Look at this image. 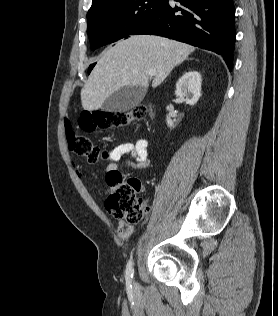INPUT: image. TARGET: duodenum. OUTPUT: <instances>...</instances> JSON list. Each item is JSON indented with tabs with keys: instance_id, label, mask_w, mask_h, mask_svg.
I'll use <instances>...</instances> for the list:
<instances>
[{
	"instance_id": "1",
	"label": "duodenum",
	"mask_w": 278,
	"mask_h": 316,
	"mask_svg": "<svg viewBox=\"0 0 278 316\" xmlns=\"http://www.w3.org/2000/svg\"><path fill=\"white\" fill-rule=\"evenodd\" d=\"M150 119L153 120L154 119V113L152 110H150Z\"/></svg>"
}]
</instances>
